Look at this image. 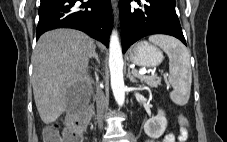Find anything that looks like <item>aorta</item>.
Here are the masks:
<instances>
[{
  "mask_svg": "<svg viewBox=\"0 0 227 142\" xmlns=\"http://www.w3.org/2000/svg\"><path fill=\"white\" fill-rule=\"evenodd\" d=\"M123 56L116 31L112 32L109 45V69L111 76V88L116 102L122 106L125 101V85L123 79Z\"/></svg>",
  "mask_w": 227,
  "mask_h": 142,
  "instance_id": "1",
  "label": "aorta"
}]
</instances>
